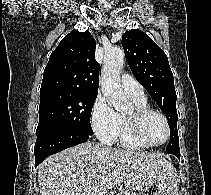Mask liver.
<instances>
[{
  "instance_id": "liver-1",
  "label": "liver",
  "mask_w": 211,
  "mask_h": 195,
  "mask_svg": "<svg viewBox=\"0 0 211 195\" xmlns=\"http://www.w3.org/2000/svg\"><path fill=\"white\" fill-rule=\"evenodd\" d=\"M166 164L160 153L88 141L51 155L38 166L40 195H104L118 183L147 191Z\"/></svg>"
}]
</instances>
